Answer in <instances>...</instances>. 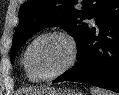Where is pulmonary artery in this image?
Returning <instances> with one entry per match:
<instances>
[{
	"instance_id": "e3ab8cb5",
	"label": "pulmonary artery",
	"mask_w": 119,
	"mask_h": 95,
	"mask_svg": "<svg viewBox=\"0 0 119 95\" xmlns=\"http://www.w3.org/2000/svg\"><path fill=\"white\" fill-rule=\"evenodd\" d=\"M90 23L93 24V25H96V21L94 18L90 19Z\"/></svg>"
}]
</instances>
